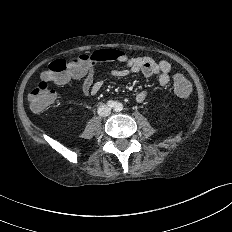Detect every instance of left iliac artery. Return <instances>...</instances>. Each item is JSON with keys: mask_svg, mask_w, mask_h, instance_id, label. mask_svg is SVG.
I'll return each mask as SVG.
<instances>
[{"mask_svg": "<svg viewBox=\"0 0 232 232\" xmlns=\"http://www.w3.org/2000/svg\"><path fill=\"white\" fill-rule=\"evenodd\" d=\"M116 110H117V111H120V110H121V105H117V106H116Z\"/></svg>", "mask_w": 232, "mask_h": 232, "instance_id": "obj_1", "label": "left iliac artery"}]
</instances>
